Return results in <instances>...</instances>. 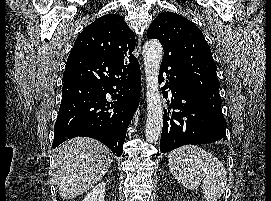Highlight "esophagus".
<instances>
[{"mask_svg":"<svg viewBox=\"0 0 271 201\" xmlns=\"http://www.w3.org/2000/svg\"><path fill=\"white\" fill-rule=\"evenodd\" d=\"M138 51L141 52V37L138 38Z\"/></svg>","mask_w":271,"mask_h":201,"instance_id":"obj_1","label":"esophagus"}]
</instances>
